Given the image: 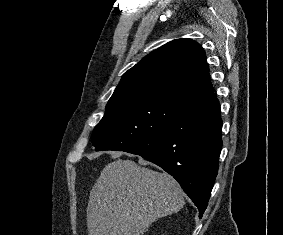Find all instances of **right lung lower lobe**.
<instances>
[{"instance_id": "right-lung-lower-lobe-1", "label": "right lung lower lobe", "mask_w": 283, "mask_h": 235, "mask_svg": "<svg viewBox=\"0 0 283 235\" xmlns=\"http://www.w3.org/2000/svg\"><path fill=\"white\" fill-rule=\"evenodd\" d=\"M220 104L214 91L189 101L164 131L125 152L140 155L172 175L202 217L222 148Z\"/></svg>"}]
</instances>
